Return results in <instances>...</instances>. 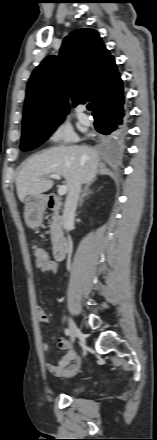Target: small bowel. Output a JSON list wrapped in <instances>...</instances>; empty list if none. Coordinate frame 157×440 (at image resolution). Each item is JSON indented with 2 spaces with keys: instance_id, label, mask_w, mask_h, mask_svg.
<instances>
[{
  "instance_id": "1",
  "label": "small bowel",
  "mask_w": 157,
  "mask_h": 440,
  "mask_svg": "<svg viewBox=\"0 0 157 440\" xmlns=\"http://www.w3.org/2000/svg\"><path fill=\"white\" fill-rule=\"evenodd\" d=\"M40 270L56 273L57 265L55 262L50 261L47 266L43 267ZM37 317L39 322L41 323L49 322V317L41 306L37 307ZM57 346L61 350H65L66 353L60 357L57 363H46L47 370L57 377L64 378H70L78 374L82 368V358L70 348L68 340L63 337H60L58 339ZM42 348L46 352L50 349V345L48 343H43Z\"/></svg>"
}]
</instances>
